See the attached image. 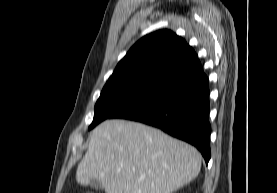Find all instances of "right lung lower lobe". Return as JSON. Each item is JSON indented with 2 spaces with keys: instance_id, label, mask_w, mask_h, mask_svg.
Segmentation results:
<instances>
[{
  "instance_id": "right-lung-lower-lobe-1",
  "label": "right lung lower lobe",
  "mask_w": 277,
  "mask_h": 193,
  "mask_svg": "<svg viewBox=\"0 0 277 193\" xmlns=\"http://www.w3.org/2000/svg\"><path fill=\"white\" fill-rule=\"evenodd\" d=\"M208 78L200 69L151 92L112 118L142 122L186 141L211 157Z\"/></svg>"
}]
</instances>
